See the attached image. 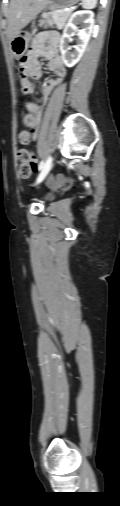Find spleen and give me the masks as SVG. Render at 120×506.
Masks as SVG:
<instances>
[{"label":"spleen","instance_id":"3e777b00","mask_svg":"<svg viewBox=\"0 0 120 506\" xmlns=\"http://www.w3.org/2000/svg\"><path fill=\"white\" fill-rule=\"evenodd\" d=\"M82 7L85 9H93L97 5V0H81Z\"/></svg>","mask_w":120,"mask_h":506}]
</instances>
